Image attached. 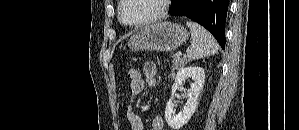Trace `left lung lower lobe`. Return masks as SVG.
<instances>
[{
  "mask_svg": "<svg viewBox=\"0 0 299 130\" xmlns=\"http://www.w3.org/2000/svg\"><path fill=\"white\" fill-rule=\"evenodd\" d=\"M171 16H185L204 26L225 48V21L229 0H173Z\"/></svg>",
  "mask_w": 299,
  "mask_h": 130,
  "instance_id": "obj_1",
  "label": "left lung lower lobe"
}]
</instances>
